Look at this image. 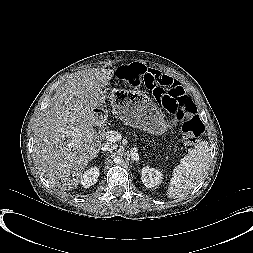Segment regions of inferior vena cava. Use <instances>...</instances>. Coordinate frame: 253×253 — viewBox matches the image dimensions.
<instances>
[{"label": "inferior vena cava", "instance_id": "602c4592", "mask_svg": "<svg viewBox=\"0 0 253 253\" xmlns=\"http://www.w3.org/2000/svg\"><path fill=\"white\" fill-rule=\"evenodd\" d=\"M102 150L106 152H112L113 146L110 143H105L104 146L102 147Z\"/></svg>", "mask_w": 253, "mask_h": 253}]
</instances>
